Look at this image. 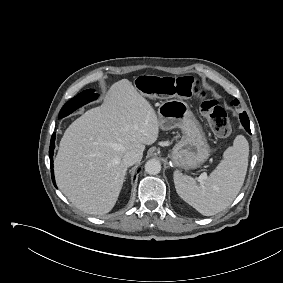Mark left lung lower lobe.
I'll return each mask as SVG.
<instances>
[{
    "mask_svg": "<svg viewBox=\"0 0 283 283\" xmlns=\"http://www.w3.org/2000/svg\"><path fill=\"white\" fill-rule=\"evenodd\" d=\"M239 116H240V120H241L242 125L244 126L246 131L251 134L249 118H248L246 112H243Z\"/></svg>",
    "mask_w": 283,
    "mask_h": 283,
    "instance_id": "obj_1",
    "label": "left lung lower lobe"
}]
</instances>
